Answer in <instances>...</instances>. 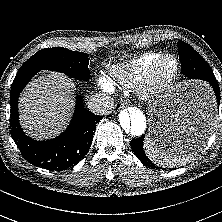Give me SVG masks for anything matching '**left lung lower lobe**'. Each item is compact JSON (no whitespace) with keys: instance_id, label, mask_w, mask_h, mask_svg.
<instances>
[{"instance_id":"1","label":"left lung lower lobe","mask_w":222,"mask_h":222,"mask_svg":"<svg viewBox=\"0 0 222 222\" xmlns=\"http://www.w3.org/2000/svg\"><path fill=\"white\" fill-rule=\"evenodd\" d=\"M180 61L182 64L181 72L188 78L192 79H199L205 82H208L211 87L214 90L217 104L219 107L220 104V89L218 86V82L213 74V72H210L207 70L204 66L198 62L193 56H180ZM208 123L206 121H202L200 124V130L204 131L207 129ZM145 135L133 139L131 141V148L136 155V157L146 166L148 167H154V164L148 159L146 156L144 150H143V141H144ZM198 139V135L196 132H184L183 134H180L178 138V143L175 145V148L178 150H184L187 151V148H190L196 144V140ZM180 148H179V147ZM170 148H174V146H171Z\"/></svg>"}]
</instances>
